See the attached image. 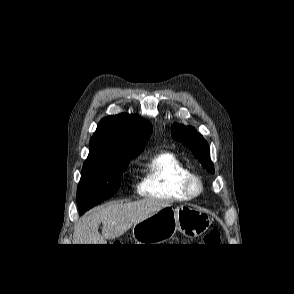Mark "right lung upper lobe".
Listing matches in <instances>:
<instances>
[{"label":"right lung upper lobe","mask_w":294,"mask_h":294,"mask_svg":"<svg viewBox=\"0 0 294 294\" xmlns=\"http://www.w3.org/2000/svg\"><path fill=\"white\" fill-rule=\"evenodd\" d=\"M152 130V125L137 115L105 117L90 139L89 154L123 153L137 156L146 146Z\"/></svg>","instance_id":"1"}]
</instances>
